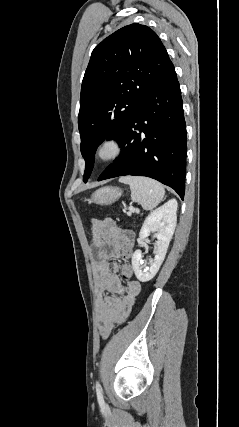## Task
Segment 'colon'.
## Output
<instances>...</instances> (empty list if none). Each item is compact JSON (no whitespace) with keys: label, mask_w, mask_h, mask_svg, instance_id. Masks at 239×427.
Segmentation results:
<instances>
[{"label":"colon","mask_w":239,"mask_h":427,"mask_svg":"<svg viewBox=\"0 0 239 427\" xmlns=\"http://www.w3.org/2000/svg\"><path fill=\"white\" fill-rule=\"evenodd\" d=\"M123 265L124 266H129L130 265V260L129 259H124L123 260Z\"/></svg>","instance_id":"5ec220e1"}]
</instances>
